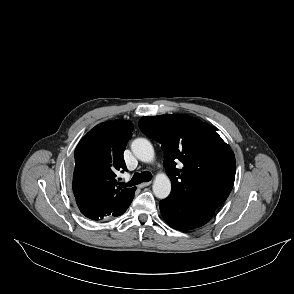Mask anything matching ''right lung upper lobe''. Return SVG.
Masks as SVG:
<instances>
[{
  "label": "right lung upper lobe",
  "instance_id": "obj_1",
  "mask_svg": "<svg viewBox=\"0 0 294 294\" xmlns=\"http://www.w3.org/2000/svg\"><path fill=\"white\" fill-rule=\"evenodd\" d=\"M133 124L115 120L97 125L78 143L73 192L81 213L92 220L117 216L136 190L119 187L117 174L127 171L123 152Z\"/></svg>",
  "mask_w": 294,
  "mask_h": 294
}]
</instances>
